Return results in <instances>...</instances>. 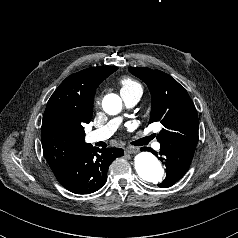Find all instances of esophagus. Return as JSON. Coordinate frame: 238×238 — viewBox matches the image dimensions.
Returning <instances> with one entry per match:
<instances>
[{"label":"esophagus","instance_id":"esophagus-1","mask_svg":"<svg viewBox=\"0 0 238 238\" xmlns=\"http://www.w3.org/2000/svg\"><path fill=\"white\" fill-rule=\"evenodd\" d=\"M139 151V149L137 147H134V146H127L125 148V153H128V154H135Z\"/></svg>","mask_w":238,"mask_h":238}]
</instances>
